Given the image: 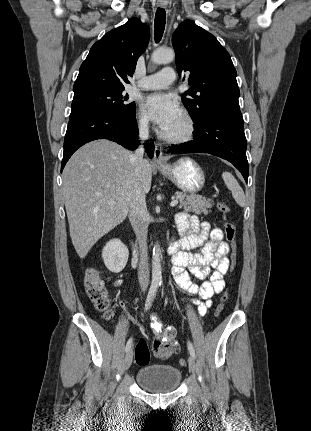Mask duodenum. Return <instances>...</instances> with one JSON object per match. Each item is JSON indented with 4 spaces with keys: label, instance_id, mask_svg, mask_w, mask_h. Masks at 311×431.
<instances>
[{
    "label": "duodenum",
    "instance_id": "obj_1",
    "mask_svg": "<svg viewBox=\"0 0 311 431\" xmlns=\"http://www.w3.org/2000/svg\"><path fill=\"white\" fill-rule=\"evenodd\" d=\"M173 246H174V243L172 242V240H170L168 242V247H167V251H168L169 254H171L173 252ZM132 253H133V261L137 262L138 261V257H139V255H138V249L136 247H132Z\"/></svg>",
    "mask_w": 311,
    "mask_h": 431
}]
</instances>
